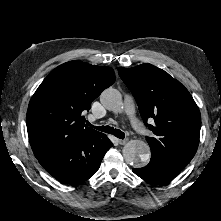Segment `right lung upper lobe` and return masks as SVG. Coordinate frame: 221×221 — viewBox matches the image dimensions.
<instances>
[{"label":"right lung upper lobe","mask_w":221,"mask_h":221,"mask_svg":"<svg viewBox=\"0 0 221 221\" xmlns=\"http://www.w3.org/2000/svg\"><path fill=\"white\" fill-rule=\"evenodd\" d=\"M115 81L114 70L81 61L55 68L30 100L27 131L36 158L67 143L102 133L82 116L91 102Z\"/></svg>","instance_id":"1"}]
</instances>
